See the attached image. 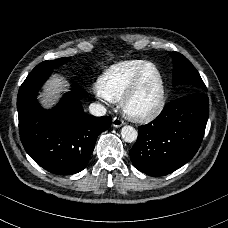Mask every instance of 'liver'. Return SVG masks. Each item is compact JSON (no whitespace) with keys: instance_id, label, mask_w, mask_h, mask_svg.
Listing matches in <instances>:
<instances>
[{"instance_id":"liver-1","label":"liver","mask_w":228,"mask_h":228,"mask_svg":"<svg viewBox=\"0 0 228 228\" xmlns=\"http://www.w3.org/2000/svg\"><path fill=\"white\" fill-rule=\"evenodd\" d=\"M66 86V82L62 78L55 77L53 78L52 83L48 86L47 91L44 93L49 95V101L53 99L55 94L61 91ZM47 98H45L46 100Z\"/></svg>"}]
</instances>
